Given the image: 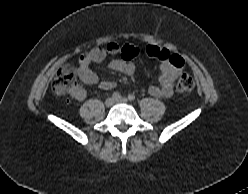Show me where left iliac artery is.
<instances>
[{
  "instance_id": "1",
  "label": "left iliac artery",
  "mask_w": 248,
  "mask_h": 194,
  "mask_svg": "<svg viewBox=\"0 0 248 194\" xmlns=\"http://www.w3.org/2000/svg\"><path fill=\"white\" fill-rule=\"evenodd\" d=\"M135 95L134 94H129L128 95V99L130 100V101H134L135 100Z\"/></svg>"
}]
</instances>
